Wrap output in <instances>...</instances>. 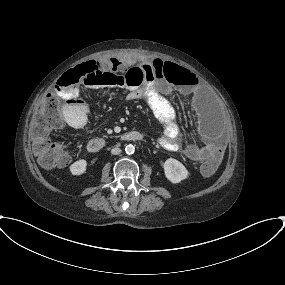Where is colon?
<instances>
[{"mask_svg":"<svg viewBox=\"0 0 285 285\" xmlns=\"http://www.w3.org/2000/svg\"><path fill=\"white\" fill-rule=\"evenodd\" d=\"M119 62L114 58L103 61L87 60L66 71L60 78V85L75 87L86 81L103 80L115 87L128 91H142L146 85L145 74L139 65H134L124 71L118 67ZM173 69L169 63L157 65V76L169 78ZM89 118V117H88ZM82 120L80 126L88 121ZM65 125L62 100L56 93L47 95L41 108L32 116L29 126V139L32 153L42 169L48 170L65 166L69 155L60 145L53 144L50 135ZM222 161L221 154H215L201 166L202 174H213Z\"/></svg>","mask_w":285,"mask_h":285,"instance_id":"colon-1","label":"colon"}]
</instances>
